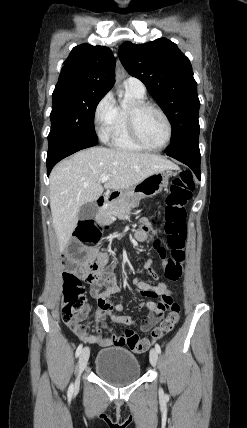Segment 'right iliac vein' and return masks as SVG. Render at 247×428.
Returning a JSON list of instances; mask_svg holds the SVG:
<instances>
[{"label":"right iliac vein","instance_id":"right-iliac-vein-1","mask_svg":"<svg viewBox=\"0 0 247 428\" xmlns=\"http://www.w3.org/2000/svg\"><path fill=\"white\" fill-rule=\"evenodd\" d=\"M89 355H90V350L88 347H85L79 356V361H78V376L75 382V389H77L79 387L80 384V376L82 374V372L84 371V369L86 368V365L88 363L89 360Z\"/></svg>","mask_w":247,"mask_h":428}]
</instances>
